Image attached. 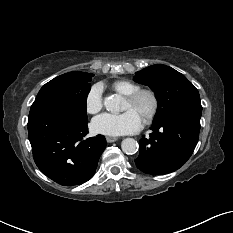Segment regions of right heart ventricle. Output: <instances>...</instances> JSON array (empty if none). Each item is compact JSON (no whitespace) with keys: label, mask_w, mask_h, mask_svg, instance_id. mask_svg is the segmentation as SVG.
I'll use <instances>...</instances> for the list:
<instances>
[{"label":"right heart ventricle","mask_w":233,"mask_h":233,"mask_svg":"<svg viewBox=\"0 0 233 233\" xmlns=\"http://www.w3.org/2000/svg\"><path fill=\"white\" fill-rule=\"evenodd\" d=\"M112 89L123 96H128L140 89V86L129 80H118L112 84Z\"/></svg>","instance_id":"1"}]
</instances>
